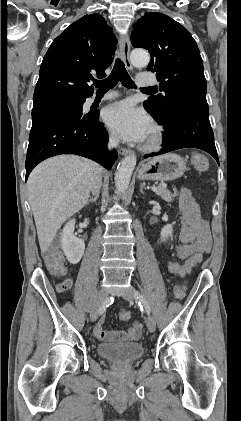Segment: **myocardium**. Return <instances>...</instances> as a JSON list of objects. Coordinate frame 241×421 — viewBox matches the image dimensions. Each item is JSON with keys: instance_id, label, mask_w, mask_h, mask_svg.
<instances>
[{"instance_id": "myocardium-1", "label": "myocardium", "mask_w": 241, "mask_h": 421, "mask_svg": "<svg viewBox=\"0 0 241 421\" xmlns=\"http://www.w3.org/2000/svg\"><path fill=\"white\" fill-rule=\"evenodd\" d=\"M163 128L157 124L152 125L150 133L142 145V149L145 151L157 150L163 142Z\"/></svg>"}]
</instances>
